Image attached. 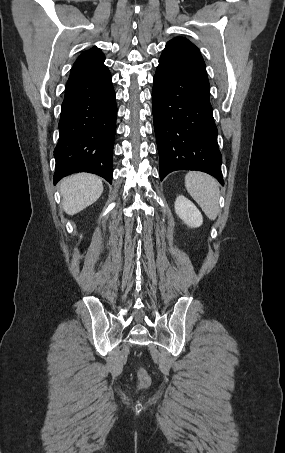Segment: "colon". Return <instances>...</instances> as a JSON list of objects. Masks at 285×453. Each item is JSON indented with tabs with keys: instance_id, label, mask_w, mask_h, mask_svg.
Returning <instances> with one entry per match:
<instances>
[{
	"instance_id": "colon-1",
	"label": "colon",
	"mask_w": 285,
	"mask_h": 453,
	"mask_svg": "<svg viewBox=\"0 0 285 453\" xmlns=\"http://www.w3.org/2000/svg\"><path fill=\"white\" fill-rule=\"evenodd\" d=\"M138 379H139V386L142 388L147 387L150 384V377L145 369L139 368L138 370Z\"/></svg>"
}]
</instances>
